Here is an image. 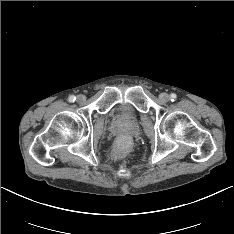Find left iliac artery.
<instances>
[{"mask_svg":"<svg viewBox=\"0 0 234 234\" xmlns=\"http://www.w3.org/2000/svg\"><path fill=\"white\" fill-rule=\"evenodd\" d=\"M176 98H177V96H176L175 93H171V94H170V100H171V101H175Z\"/></svg>","mask_w":234,"mask_h":234,"instance_id":"left-iliac-artery-1","label":"left iliac artery"}]
</instances>
